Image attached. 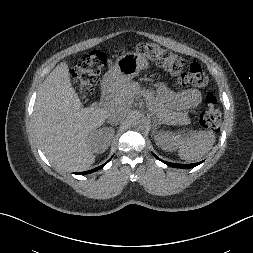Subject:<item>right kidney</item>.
Here are the masks:
<instances>
[{
    "instance_id": "ca27d5eb",
    "label": "right kidney",
    "mask_w": 253,
    "mask_h": 253,
    "mask_svg": "<svg viewBox=\"0 0 253 253\" xmlns=\"http://www.w3.org/2000/svg\"><path fill=\"white\" fill-rule=\"evenodd\" d=\"M109 128H102L99 130L93 131V133L89 136V144L90 148L95 153H103L109 147L112 139L113 132L107 133ZM113 131V129H111Z\"/></svg>"
}]
</instances>
